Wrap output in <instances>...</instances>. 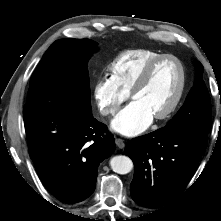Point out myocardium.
<instances>
[{
    "mask_svg": "<svg viewBox=\"0 0 221 221\" xmlns=\"http://www.w3.org/2000/svg\"><path fill=\"white\" fill-rule=\"evenodd\" d=\"M167 59H172L178 64L180 69V82L173 100L164 111L153 116L155 120H164L170 117L175 112L183 98L187 80L186 69L183 62L178 57L172 54H163L153 59L144 68L129 93L130 98L133 99V97L147 84L155 67Z\"/></svg>",
    "mask_w": 221,
    "mask_h": 221,
    "instance_id": "obj_1",
    "label": "myocardium"
}]
</instances>
